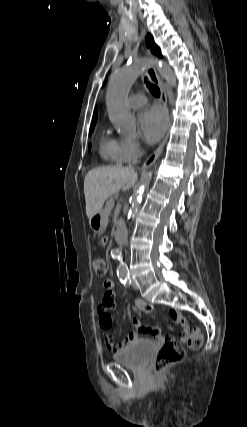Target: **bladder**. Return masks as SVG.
I'll list each match as a JSON object with an SVG mask.
<instances>
[{
	"label": "bladder",
	"mask_w": 247,
	"mask_h": 427,
	"mask_svg": "<svg viewBox=\"0 0 247 427\" xmlns=\"http://www.w3.org/2000/svg\"><path fill=\"white\" fill-rule=\"evenodd\" d=\"M156 345L150 340H136L113 354L119 364L134 370L143 369L155 352Z\"/></svg>",
	"instance_id": "1"
}]
</instances>
